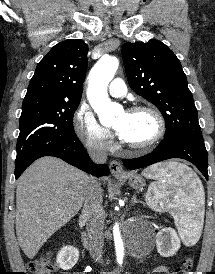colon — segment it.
<instances>
[{"instance_id":"obj_1","label":"colon","mask_w":215,"mask_h":274,"mask_svg":"<svg viewBox=\"0 0 215 274\" xmlns=\"http://www.w3.org/2000/svg\"><path fill=\"white\" fill-rule=\"evenodd\" d=\"M191 268L192 260L190 258H186L183 260L182 265L176 269L173 274H189ZM30 269L35 274H52L56 270V265L52 261V255L48 254L45 257L31 263Z\"/></svg>"}]
</instances>
